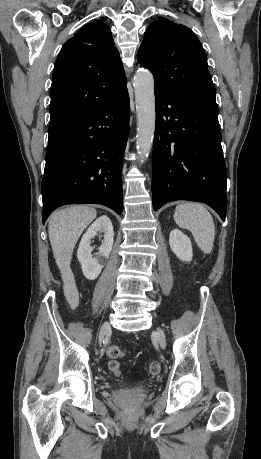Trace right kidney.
Wrapping results in <instances>:
<instances>
[{"instance_id": "1", "label": "right kidney", "mask_w": 261, "mask_h": 459, "mask_svg": "<svg viewBox=\"0 0 261 459\" xmlns=\"http://www.w3.org/2000/svg\"><path fill=\"white\" fill-rule=\"evenodd\" d=\"M97 232H103L104 239L98 253L93 257L92 251L94 247H91L90 244L91 239ZM113 242L114 230L112 222L107 215H102L85 232L77 250L78 260L81 263L83 274L87 279L95 280L99 276L109 258Z\"/></svg>"}]
</instances>
